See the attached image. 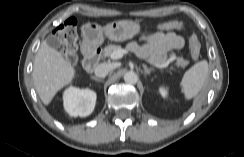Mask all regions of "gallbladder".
Segmentation results:
<instances>
[{
  "mask_svg": "<svg viewBox=\"0 0 244 157\" xmlns=\"http://www.w3.org/2000/svg\"><path fill=\"white\" fill-rule=\"evenodd\" d=\"M46 42H47L48 46H50L51 48H54V49H60L63 45L61 39L54 35H49L46 38Z\"/></svg>",
  "mask_w": 244,
  "mask_h": 157,
  "instance_id": "obj_1",
  "label": "gallbladder"
}]
</instances>
